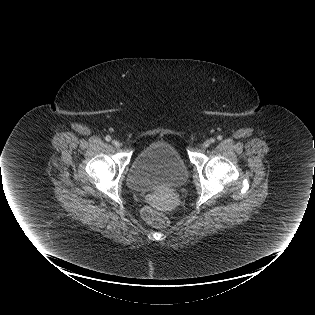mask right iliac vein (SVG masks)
I'll list each match as a JSON object with an SVG mask.
<instances>
[{"instance_id":"63e3f726","label":"right iliac vein","mask_w":315,"mask_h":315,"mask_svg":"<svg viewBox=\"0 0 315 315\" xmlns=\"http://www.w3.org/2000/svg\"><path fill=\"white\" fill-rule=\"evenodd\" d=\"M112 144L116 147L119 148L121 146V143L117 140H112Z\"/></svg>"}]
</instances>
